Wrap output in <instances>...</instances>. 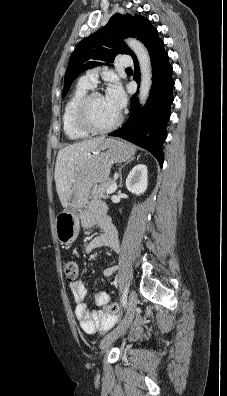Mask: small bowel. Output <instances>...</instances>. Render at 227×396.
I'll list each match as a JSON object with an SVG mask.
<instances>
[{
    "instance_id": "obj_1",
    "label": "small bowel",
    "mask_w": 227,
    "mask_h": 396,
    "mask_svg": "<svg viewBox=\"0 0 227 396\" xmlns=\"http://www.w3.org/2000/svg\"><path fill=\"white\" fill-rule=\"evenodd\" d=\"M81 224L86 229L98 227L101 233L94 236L85 246V251L91 253L99 248H108L112 251L119 249L118 233L115 226L106 214L104 205L101 202H92L88 209L81 213ZM115 271V266L106 267L103 276L109 278ZM70 291L75 302V316L80 322V326L87 334L105 333L119 321L118 313H108L102 310L90 311L87 300L90 297L89 290L82 280H76L70 284ZM92 299L97 306H106L110 303L108 292L98 290L92 294ZM143 334V328L135 327L130 337L137 339Z\"/></svg>"
}]
</instances>
